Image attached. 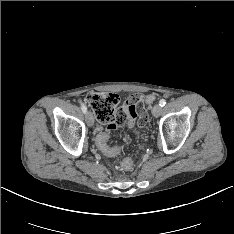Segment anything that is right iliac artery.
Segmentation results:
<instances>
[{"instance_id":"obj_1","label":"right iliac artery","mask_w":234,"mask_h":234,"mask_svg":"<svg viewBox=\"0 0 234 234\" xmlns=\"http://www.w3.org/2000/svg\"><path fill=\"white\" fill-rule=\"evenodd\" d=\"M81 109L84 113H86L87 108L83 103H81Z\"/></svg>"}]
</instances>
